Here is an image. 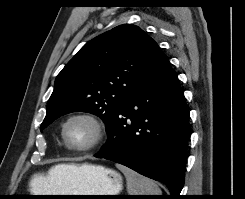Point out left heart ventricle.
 Listing matches in <instances>:
<instances>
[{"label":"left heart ventricle","mask_w":245,"mask_h":199,"mask_svg":"<svg viewBox=\"0 0 245 199\" xmlns=\"http://www.w3.org/2000/svg\"><path fill=\"white\" fill-rule=\"evenodd\" d=\"M95 136L93 125L84 119H75L67 127V137L74 146L88 145Z\"/></svg>","instance_id":"obj_1"}]
</instances>
